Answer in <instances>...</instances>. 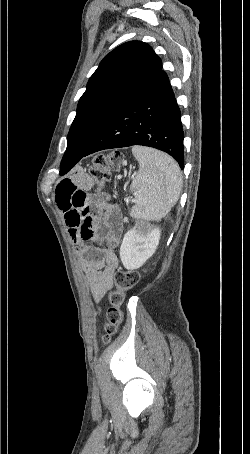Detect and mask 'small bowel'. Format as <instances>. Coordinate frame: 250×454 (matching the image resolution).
<instances>
[{
	"label": "small bowel",
	"instance_id": "obj_1",
	"mask_svg": "<svg viewBox=\"0 0 250 454\" xmlns=\"http://www.w3.org/2000/svg\"><path fill=\"white\" fill-rule=\"evenodd\" d=\"M93 179L79 170L62 179L55 191L68 233L82 255V268L96 301L113 287L118 257L115 248L121 240L123 223L120 210L107 204V198L89 190Z\"/></svg>",
	"mask_w": 250,
	"mask_h": 454
}]
</instances>
